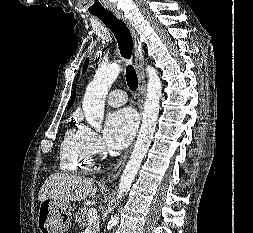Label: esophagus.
<instances>
[{
  "label": "esophagus",
  "instance_id": "1",
  "mask_svg": "<svg viewBox=\"0 0 253 233\" xmlns=\"http://www.w3.org/2000/svg\"><path fill=\"white\" fill-rule=\"evenodd\" d=\"M116 15L127 25L129 28L133 42H134V50H135V68L137 71V76H138V94H137V106L139 109L140 115H142L143 112V107L145 103V96H146V80H145V72H144V55H143V47H142V42L139 39V36L132 26L131 22L120 12H115ZM132 151V147H130L122 156L121 158L117 161V163L111 168L106 182L111 183L114 180L118 178L120 175L121 171L123 170L130 153Z\"/></svg>",
  "mask_w": 253,
  "mask_h": 233
}]
</instances>
